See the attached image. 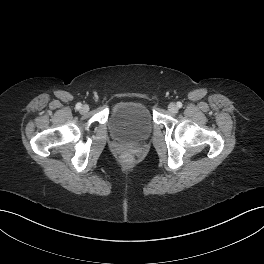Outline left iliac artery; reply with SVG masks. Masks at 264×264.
<instances>
[{
	"mask_svg": "<svg viewBox=\"0 0 264 264\" xmlns=\"http://www.w3.org/2000/svg\"><path fill=\"white\" fill-rule=\"evenodd\" d=\"M177 107L181 108L182 107V103L181 102H177Z\"/></svg>",
	"mask_w": 264,
	"mask_h": 264,
	"instance_id": "left-iliac-artery-1",
	"label": "left iliac artery"
}]
</instances>
